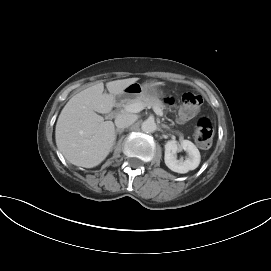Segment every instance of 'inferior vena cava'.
<instances>
[{
	"label": "inferior vena cava",
	"mask_w": 271,
	"mask_h": 271,
	"mask_svg": "<svg viewBox=\"0 0 271 271\" xmlns=\"http://www.w3.org/2000/svg\"><path fill=\"white\" fill-rule=\"evenodd\" d=\"M136 121L134 115L131 114H119L115 119V125L118 129H124L132 125Z\"/></svg>",
	"instance_id": "obj_1"
}]
</instances>
